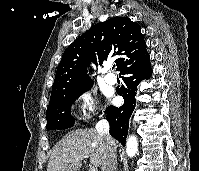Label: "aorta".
<instances>
[{
	"label": "aorta",
	"mask_w": 199,
	"mask_h": 171,
	"mask_svg": "<svg viewBox=\"0 0 199 171\" xmlns=\"http://www.w3.org/2000/svg\"><path fill=\"white\" fill-rule=\"evenodd\" d=\"M138 150V141L137 138L132 135L127 139L126 143V153L129 157H134Z\"/></svg>",
	"instance_id": "762f6f07"
}]
</instances>
